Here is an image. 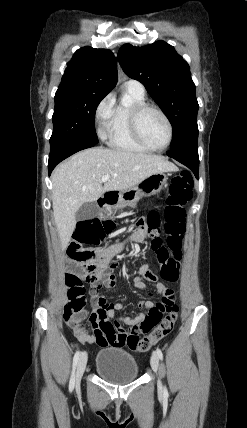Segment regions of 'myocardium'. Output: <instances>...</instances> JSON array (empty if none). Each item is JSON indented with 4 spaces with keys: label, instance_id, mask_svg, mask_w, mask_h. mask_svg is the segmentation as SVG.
I'll list each match as a JSON object with an SVG mask.
<instances>
[{
    "label": "myocardium",
    "instance_id": "myocardium-1",
    "mask_svg": "<svg viewBox=\"0 0 247 428\" xmlns=\"http://www.w3.org/2000/svg\"><path fill=\"white\" fill-rule=\"evenodd\" d=\"M147 110H153V111L157 112L158 114H160L161 117L164 119V121L167 124L168 139H167L166 143L161 147H154V146L150 145L149 143H147V141L144 139V137L140 131V126H139L140 117ZM129 127H130V131H131L134 139L140 145H142L144 148H146L148 150L158 151V152L164 151L172 143L173 135H174L172 122H171L170 118L168 117V115L160 107H158L156 105L149 104V103H140V104H136V105L132 106V108L129 111Z\"/></svg>",
    "mask_w": 247,
    "mask_h": 428
}]
</instances>
